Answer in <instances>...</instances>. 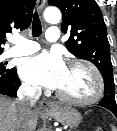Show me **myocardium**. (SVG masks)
I'll use <instances>...</instances> for the list:
<instances>
[{
	"label": "myocardium",
	"mask_w": 117,
	"mask_h": 131,
	"mask_svg": "<svg viewBox=\"0 0 117 131\" xmlns=\"http://www.w3.org/2000/svg\"><path fill=\"white\" fill-rule=\"evenodd\" d=\"M75 66L84 68L92 75L95 83V89L93 94L87 98H73L57 90L56 96L63 102L73 105H78V106H88L98 102L104 93V81L101 73L93 64L84 60L75 59V60H71L68 63V67H75Z\"/></svg>",
	"instance_id": "1"
}]
</instances>
